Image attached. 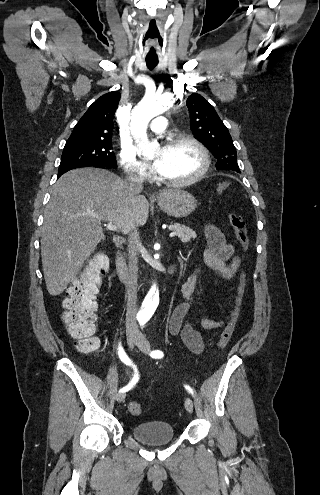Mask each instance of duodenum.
Returning a JSON list of instances; mask_svg holds the SVG:
<instances>
[{
	"instance_id": "410a0bca",
	"label": "duodenum",
	"mask_w": 320,
	"mask_h": 495,
	"mask_svg": "<svg viewBox=\"0 0 320 495\" xmlns=\"http://www.w3.org/2000/svg\"><path fill=\"white\" fill-rule=\"evenodd\" d=\"M116 268H117V272H118V276H119L120 280L124 283H127L129 280V272H128V267H127V264L125 262V259H124V256L122 255V253L117 254ZM176 269H177V265L171 264L168 267L167 274L170 276L173 275L175 273Z\"/></svg>"
}]
</instances>
